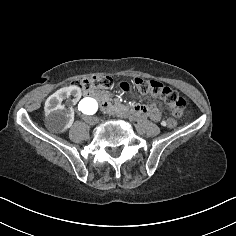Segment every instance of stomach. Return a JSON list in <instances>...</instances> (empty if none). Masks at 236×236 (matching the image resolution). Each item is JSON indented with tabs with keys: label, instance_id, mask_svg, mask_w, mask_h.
<instances>
[{
	"label": "stomach",
	"instance_id": "obj_1",
	"mask_svg": "<svg viewBox=\"0 0 236 236\" xmlns=\"http://www.w3.org/2000/svg\"><path fill=\"white\" fill-rule=\"evenodd\" d=\"M125 88H128V85H125ZM129 94H132V96H135V93H132V91H129ZM136 98H139V95H136ZM143 101H146V98H143Z\"/></svg>",
	"mask_w": 236,
	"mask_h": 236
}]
</instances>
